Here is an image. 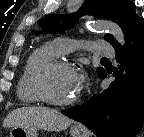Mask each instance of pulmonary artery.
Wrapping results in <instances>:
<instances>
[{
	"instance_id": "obj_1",
	"label": "pulmonary artery",
	"mask_w": 144,
	"mask_h": 137,
	"mask_svg": "<svg viewBox=\"0 0 144 137\" xmlns=\"http://www.w3.org/2000/svg\"><path fill=\"white\" fill-rule=\"evenodd\" d=\"M51 45L56 55H63L77 47L83 46L84 43L65 38H57L53 41ZM86 46L90 51L96 54L114 56V49L109 43L105 41L96 40L94 42L86 44Z\"/></svg>"
}]
</instances>
